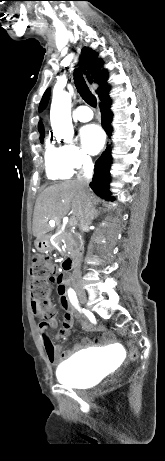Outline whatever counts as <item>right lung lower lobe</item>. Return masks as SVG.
Listing matches in <instances>:
<instances>
[{"label":"right lung lower lobe","instance_id":"right-lung-lower-lobe-1","mask_svg":"<svg viewBox=\"0 0 165 461\" xmlns=\"http://www.w3.org/2000/svg\"><path fill=\"white\" fill-rule=\"evenodd\" d=\"M110 104L111 100L108 98L104 101L101 102V123L106 131L107 135L111 136L112 132V126H111V120H112V112L110 111ZM110 146H108L101 155V157L97 160L95 163V168H94V176L92 179V182L90 183V187L92 190L101 198H104L105 200H110L112 201V198L110 197V191H109V182H110V165L112 163L111 159V153H110Z\"/></svg>","mask_w":165,"mask_h":461}]
</instances>
